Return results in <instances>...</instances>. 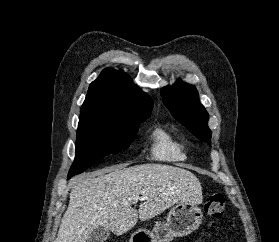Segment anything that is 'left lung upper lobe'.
Wrapping results in <instances>:
<instances>
[{
    "label": "left lung upper lobe",
    "instance_id": "1",
    "mask_svg": "<svg viewBox=\"0 0 279 242\" xmlns=\"http://www.w3.org/2000/svg\"><path fill=\"white\" fill-rule=\"evenodd\" d=\"M161 96L173 117L198 139L210 145L212 133L208 127L209 114L199 102L196 88L179 80L173 86L162 88Z\"/></svg>",
    "mask_w": 279,
    "mask_h": 242
}]
</instances>
